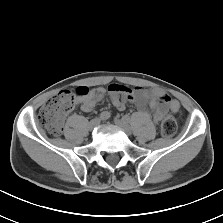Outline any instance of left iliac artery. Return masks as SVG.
<instances>
[{"instance_id": "left-iliac-artery-1", "label": "left iliac artery", "mask_w": 223, "mask_h": 223, "mask_svg": "<svg viewBox=\"0 0 223 223\" xmlns=\"http://www.w3.org/2000/svg\"><path fill=\"white\" fill-rule=\"evenodd\" d=\"M122 119L125 120L126 122H130V118L128 116H124Z\"/></svg>"}]
</instances>
